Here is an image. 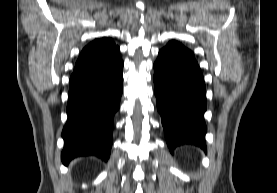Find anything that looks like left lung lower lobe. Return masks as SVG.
Segmentation results:
<instances>
[{"instance_id":"left-lung-lower-lobe-1","label":"left lung lower lobe","mask_w":277,"mask_h":193,"mask_svg":"<svg viewBox=\"0 0 277 193\" xmlns=\"http://www.w3.org/2000/svg\"><path fill=\"white\" fill-rule=\"evenodd\" d=\"M154 92L166 142L171 151L190 143L206 150V88L193 53L177 41L159 51Z\"/></svg>"}]
</instances>
